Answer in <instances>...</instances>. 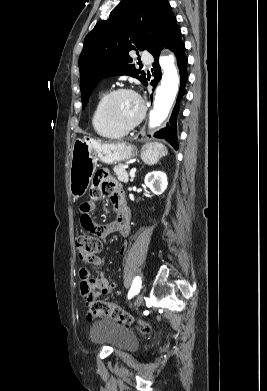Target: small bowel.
I'll use <instances>...</instances> for the list:
<instances>
[{"mask_svg": "<svg viewBox=\"0 0 267 391\" xmlns=\"http://www.w3.org/2000/svg\"><path fill=\"white\" fill-rule=\"evenodd\" d=\"M103 197H108L115 207L116 218L106 225H98L92 219V212L95 208V201ZM90 201L83 202L80 207V224L83 230L90 235L106 238L109 234L118 232L124 237L130 234V213L126 205L123 191L119 183L111 176L106 169H98L93 178L90 188ZM127 250V244L122 247L121 254ZM101 259L95 256L88 265L80 268V296L86 304H90L93 299L111 293L116 288L115 282H109L101 273L98 277H93L91 269L98 268Z\"/></svg>", "mask_w": 267, "mask_h": 391, "instance_id": "small-bowel-1", "label": "small bowel"}]
</instances>
